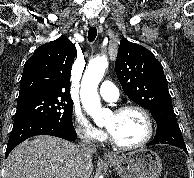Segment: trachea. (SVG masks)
I'll list each match as a JSON object with an SVG mask.
<instances>
[{"mask_svg":"<svg viewBox=\"0 0 194 178\" xmlns=\"http://www.w3.org/2000/svg\"><path fill=\"white\" fill-rule=\"evenodd\" d=\"M97 36V29L96 27H91L88 31V40L90 42L94 41V39L96 38Z\"/></svg>","mask_w":194,"mask_h":178,"instance_id":"obj_1","label":"trachea"}]
</instances>
